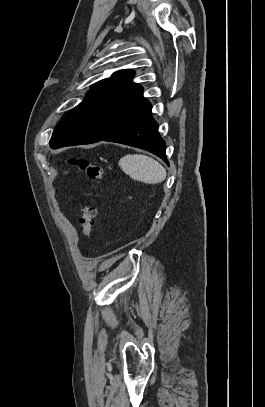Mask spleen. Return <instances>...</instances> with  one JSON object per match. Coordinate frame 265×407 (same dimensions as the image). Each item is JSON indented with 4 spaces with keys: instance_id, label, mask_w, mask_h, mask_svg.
Instances as JSON below:
<instances>
[{
    "instance_id": "spleen-1",
    "label": "spleen",
    "mask_w": 265,
    "mask_h": 407,
    "mask_svg": "<svg viewBox=\"0 0 265 407\" xmlns=\"http://www.w3.org/2000/svg\"><path fill=\"white\" fill-rule=\"evenodd\" d=\"M121 169L132 179L147 184H156L165 180V168L153 158L142 154H128L119 161Z\"/></svg>"
}]
</instances>
